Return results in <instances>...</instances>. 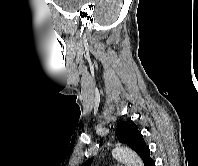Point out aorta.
I'll list each match as a JSON object with an SVG mask.
<instances>
[{"label":"aorta","mask_w":198,"mask_h":166,"mask_svg":"<svg viewBox=\"0 0 198 166\" xmlns=\"http://www.w3.org/2000/svg\"><path fill=\"white\" fill-rule=\"evenodd\" d=\"M112 156L120 161H123L126 166H144L141 158L128 147H115L112 150Z\"/></svg>","instance_id":"762f6f07"}]
</instances>
